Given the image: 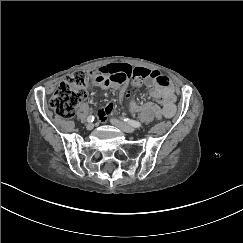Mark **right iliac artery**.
<instances>
[{
    "instance_id": "82829eb1",
    "label": "right iliac artery",
    "mask_w": 243,
    "mask_h": 243,
    "mask_svg": "<svg viewBox=\"0 0 243 243\" xmlns=\"http://www.w3.org/2000/svg\"><path fill=\"white\" fill-rule=\"evenodd\" d=\"M87 121L88 122H93L94 121V116L93 115L88 116Z\"/></svg>"
}]
</instances>
